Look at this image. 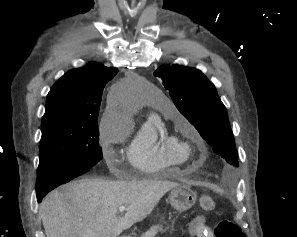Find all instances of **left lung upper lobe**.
<instances>
[{"mask_svg": "<svg viewBox=\"0 0 297 237\" xmlns=\"http://www.w3.org/2000/svg\"><path fill=\"white\" fill-rule=\"evenodd\" d=\"M154 75L162 79L178 110L213 147V151L229 164L238 166L227 110L213 83L199 70L178 65L160 66Z\"/></svg>", "mask_w": 297, "mask_h": 237, "instance_id": "left-lung-upper-lobe-1", "label": "left lung upper lobe"}]
</instances>
